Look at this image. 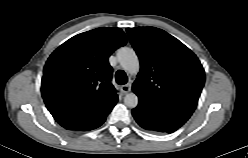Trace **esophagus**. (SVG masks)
Instances as JSON below:
<instances>
[{
  "label": "esophagus",
  "mask_w": 248,
  "mask_h": 158,
  "mask_svg": "<svg viewBox=\"0 0 248 158\" xmlns=\"http://www.w3.org/2000/svg\"><path fill=\"white\" fill-rule=\"evenodd\" d=\"M130 90H131V85L129 83L121 86V91L124 94L130 92Z\"/></svg>",
  "instance_id": "34e87169"
}]
</instances>
